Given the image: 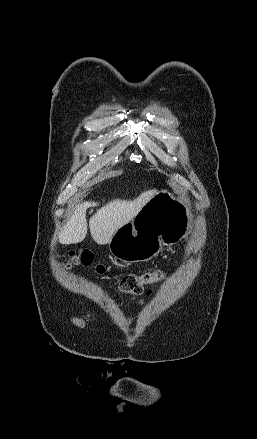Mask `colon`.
<instances>
[{
  "label": "colon",
  "mask_w": 257,
  "mask_h": 439,
  "mask_svg": "<svg viewBox=\"0 0 257 439\" xmlns=\"http://www.w3.org/2000/svg\"><path fill=\"white\" fill-rule=\"evenodd\" d=\"M93 260V254L89 250L71 252L66 260L67 266L83 264L88 265ZM163 271L156 270L143 274H127L119 282L118 290L124 294L139 295L143 286L148 283H155L163 280Z\"/></svg>",
  "instance_id": "5ec220e1"
}]
</instances>
